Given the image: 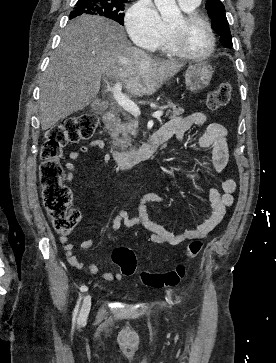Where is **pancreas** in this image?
Here are the masks:
<instances>
[{"instance_id":"pancreas-1","label":"pancreas","mask_w":276,"mask_h":363,"mask_svg":"<svg viewBox=\"0 0 276 363\" xmlns=\"http://www.w3.org/2000/svg\"><path fill=\"white\" fill-rule=\"evenodd\" d=\"M166 107L169 109L170 118H174L184 113L182 107H177L172 102H167ZM138 127L137 119H131L128 117V121L122 123L120 119H116L114 122L107 125L108 133L112 138V143L114 147H121L125 149L131 146L130 135H136V129Z\"/></svg>"}]
</instances>
